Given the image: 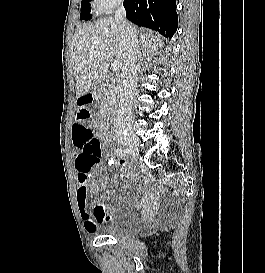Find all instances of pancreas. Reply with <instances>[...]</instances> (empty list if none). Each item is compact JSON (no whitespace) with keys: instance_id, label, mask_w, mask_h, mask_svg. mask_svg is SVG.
<instances>
[{"instance_id":"1","label":"pancreas","mask_w":265,"mask_h":273,"mask_svg":"<svg viewBox=\"0 0 265 273\" xmlns=\"http://www.w3.org/2000/svg\"><path fill=\"white\" fill-rule=\"evenodd\" d=\"M117 87L115 85H109L103 90V102L102 109L103 111H113L116 108L117 103Z\"/></svg>"}]
</instances>
